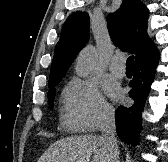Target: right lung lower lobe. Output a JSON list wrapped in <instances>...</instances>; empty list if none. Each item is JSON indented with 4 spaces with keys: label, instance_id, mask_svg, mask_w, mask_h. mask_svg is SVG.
I'll use <instances>...</instances> for the list:
<instances>
[{
    "label": "right lung lower lobe",
    "instance_id": "obj_1",
    "mask_svg": "<svg viewBox=\"0 0 168 162\" xmlns=\"http://www.w3.org/2000/svg\"><path fill=\"white\" fill-rule=\"evenodd\" d=\"M159 60L158 50L135 62L134 77L129 83V97L134 100L130 107L120 106L116 111V128L119 138L129 144H139L142 129V111L153 82Z\"/></svg>",
    "mask_w": 168,
    "mask_h": 162
}]
</instances>
